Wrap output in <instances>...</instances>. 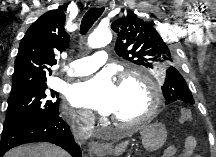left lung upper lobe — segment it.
I'll use <instances>...</instances> for the list:
<instances>
[{
    "label": "left lung upper lobe",
    "mask_w": 216,
    "mask_h": 157,
    "mask_svg": "<svg viewBox=\"0 0 216 157\" xmlns=\"http://www.w3.org/2000/svg\"><path fill=\"white\" fill-rule=\"evenodd\" d=\"M111 28L117 34L115 51L125 60L148 69H157V74H166L162 92L166 103L183 101L194 104L192 93L182 77L181 64H178L177 49L173 39L159 35L162 27L138 18L134 13L115 20Z\"/></svg>",
    "instance_id": "obj_1"
}]
</instances>
